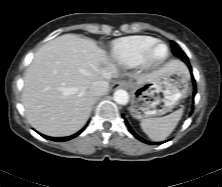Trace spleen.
<instances>
[{
	"mask_svg": "<svg viewBox=\"0 0 222 187\" xmlns=\"http://www.w3.org/2000/svg\"><path fill=\"white\" fill-rule=\"evenodd\" d=\"M183 114V109L159 118L141 120L140 126L145 134L153 141L165 140L175 129Z\"/></svg>",
	"mask_w": 222,
	"mask_h": 187,
	"instance_id": "1",
	"label": "spleen"
}]
</instances>
